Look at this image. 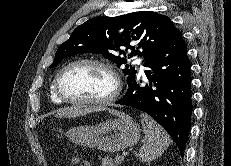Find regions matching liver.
<instances>
[{
  "mask_svg": "<svg viewBox=\"0 0 231 166\" xmlns=\"http://www.w3.org/2000/svg\"><path fill=\"white\" fill-rule=\"evenodd\" d=\"M106 108L101 107H87V108H79V107H65L63 109L57 110L56 117L62 118V117H78L83 116L91 112L95 111H104ZM109 113L113 115H120L121 113L116 110H109Z\"/></svg>",
  "mask_w": 231,
  "mask_h": 166,
  "instance_id": "1",
  "label": "liver"
}]
</instances>
